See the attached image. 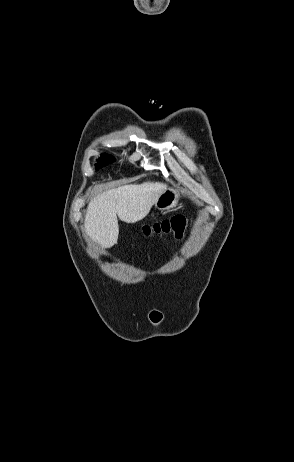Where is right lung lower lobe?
<instances>
[{"label":"right lung lower lobe","instance_id":"obj_1","mask_svg":"<svg viewBox=\"0 0 294 462\" xmlns=\"http://www.w3.org/2000/svg\"><path fill=\"white\" fill-rule=\"evenodd\" d=\"M110 162H112V161L107 159V158H99L96 168L98 169V168H101L103 166H106Z\"/></svg>","mask_w":294,"mask_h":462}]
</instances>
